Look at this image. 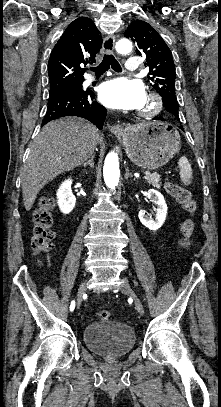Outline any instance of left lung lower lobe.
I'll use <instances>...</instances> for the list:
<instances>
[{
	"instance_id": "1",
	"label": "left lung lower lobe",
	"mask_w": 221,
	"mask_h": 407,
	"mask_svg": "<svg viewBox=\"0 0 221 407\" xmlns=\"http://www.w3.org/2000/svg\"><path fill=\"white\" fill-rule=\"evenodd\" d=\"M154 120H164L162 117H154L153 118ZM182 126H180V128H181Z\"/></svg>"
}]
</instances>
